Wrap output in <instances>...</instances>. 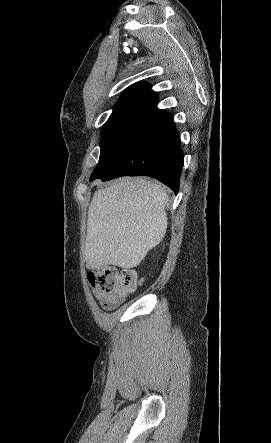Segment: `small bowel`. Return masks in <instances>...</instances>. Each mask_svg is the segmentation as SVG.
I'll use <instances>...</instances> for the list:
<instances>
[{
  "instance_id": "obj_1",
  "label": "small bowel",
  "mask_w": 271,
  "mask_h": 443,
  "mask_svg": "<svg viewBox=\"0 0 271 443\" xmlns=\"http://www.w3.org/2000/svg\"><path fill=\"white\" fill-rule=\"evenodd\" d=\"M94 296L98 300L100 306L105 310H113L119 307L123 302V298H116L114 296H110L104 293H101L97 290L93 291Z\"/></svg>"
}]
</instances>
